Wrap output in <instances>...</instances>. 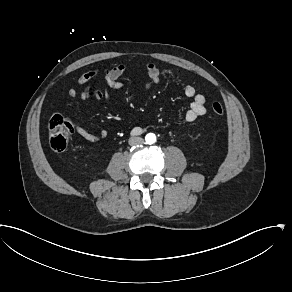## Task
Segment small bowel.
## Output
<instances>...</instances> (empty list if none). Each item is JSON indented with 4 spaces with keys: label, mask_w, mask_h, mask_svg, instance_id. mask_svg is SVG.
<instances>
[{
    "label": "small bowel",
    "mask_w": 292,
    "mask_h": 292,
    "mask_svg": "<svg viewBox=\"0 0 292 292\" xmlns=\"http://www.w3.org/2000/svg\"><path fill=\"white\" fill-rule=\"evenodd\" d=\"M126 69V65H118L113 68H104L102 70L93 69L86 71L78 78V84L83 86L80 97L82 99H106L111 101L113 99V92L119 90L122 87L120 78ZM99 75L104 79L107 85V91L105 93L100 90L90 89L91 81ZM172 75L173 71L171 69H160L155 64H148L145 86L146 88H151L152 86L159 83L161 77ZM183 91L185 96L192 99L190 107L185 114V119L188 122H193L206 113V99L202 94L197 93L196 88L190 83L184 84ZM66 96V106L69 107L78 96V93L75 89L71 88L67 91ZM74 130L79 137L89 142H96L105 139L108 136L107 130H100L97 133H93L81 124H75Z\"/></svg>",
    "instance_id": "c3829d8e"
}]
</instances>
